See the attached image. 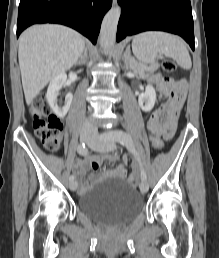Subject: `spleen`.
Here are the masks:
<instances>
[{
	"label": "spleen",
	"instance_id": "obj_1",
	"mask_svg": "<svg viewBox=\"0 0 219 258\" xmlns=\"http://www.w3.org/2000/svg\"><path fill=\"white\" fill-rule=\"evenodd\" d=\"M132 51L143 63H153L164 55L173 58L184 69H190L192 66L184 41L169 33L161 31L140 33L133 38Z\"/></svg>",
	"mask_w": 219,
	"mask_h": 258
}]
</instances>
